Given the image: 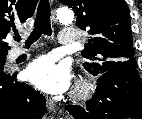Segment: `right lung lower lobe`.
Wrapping results in <instances>:
<instances>
[{
  "label": "right lung lower lobe",
  "instance_id": "1",
  "mask_svg": "<svg viewBox=\"0 0 142 119\" xmlns=\"http://www.w3.org/2000/svg\"><path fill=\"white\" fill-rule=\"evenodd\" d=\"M46 110L45 97L16 74L0 69V119H41Z\"/></svg>",
  "mask_w": 142,
  "mask_h": 119
}]
</instances>
